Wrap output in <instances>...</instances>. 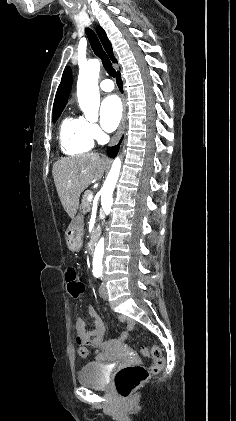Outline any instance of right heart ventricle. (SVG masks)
I'll list each match as a JSON object with an SVG mask.
<instances>
[{
  "instance_id": "right-heart-ventricle-1",
  "label": "right heart ventricle",
  "mask_w": 236,
  "mask_h": 421,
  "mask_svg": "<svg viewBox=\"0 0 236 421\" xmlns=\"http://www.w3.org/2000/svg\"><path fill=\"white\" fill-rule=\"evenodd\" d=\"M59 146L63 154L71 157L83 155L93 148L85 119L81 117H65L59 128Z\"/></svg>"
}]
</instances>
